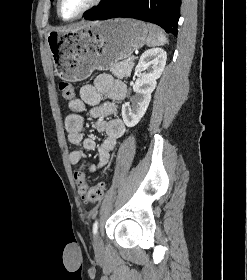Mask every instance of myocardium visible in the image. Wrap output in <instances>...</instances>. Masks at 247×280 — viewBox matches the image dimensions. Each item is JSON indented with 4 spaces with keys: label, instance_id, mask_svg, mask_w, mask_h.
I'll use <instances>...</instances> for the list:
<instances>
[{
    "label": "myocardium",
    "instance_id": "f54148a6",
    "mask_svg": "<svg viewBox=\"0 0 247 280\" xmlns=\"http://www.w3.org/2000/svg\"><path fill=\"white\" fill-rule=\"evenodd\" d=\"M61 2H62V0H57V6H56L57 14H58L60 19H62L63 21L69 22V21H74V20H77V19L81 18L86 13H88L89 11H91L92 9L97 7L99 4H101L103 2V0H91V2L83 10H81L77 15H75L72 18H64L61 15V11H60Z\"/></svg>",
    "mask_w": 247,
    "mask_h": 280
}]
</instances>
